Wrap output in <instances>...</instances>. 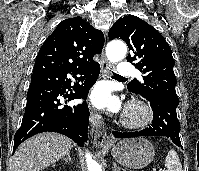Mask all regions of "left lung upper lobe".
I'll return each mask as SVG.
<instances>
[{
    "label": "left lung upper lobe",
    "instance_id": "1",
    "mask_svg": "<svg viewBox=\"0 0 199 171\" xmlns=\"http://www.w3.org/2000/svg\"><path fill=\"white\" fill-rule=\"evenodd\" d=\"M124 40L131 53L127 61L137 60L134 66L143 74L144 82L133 80L128 89L144 98H163L179 103L173 71L174 59L164 37L147 22L128 15L120 18L109 30V39Z\"/></svg>",
    "mask_w": 199,
    "mask_h": 171
}]
</instances>
